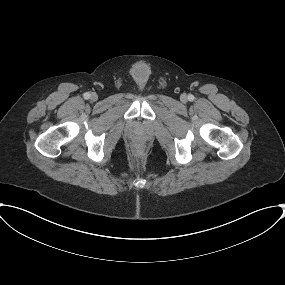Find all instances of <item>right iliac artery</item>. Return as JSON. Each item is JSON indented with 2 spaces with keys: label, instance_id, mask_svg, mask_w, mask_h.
I'll return each mask as SVG.
<instances>
[{
  "label": "right iliac artery",
  "instance_id": "right-iliac-artery-1",
  "mask_svg": "<svg viewBox=\"0 0 285 285\" xmlns=\"http://www.w3.org/2000/svg\"><path fill=\"white\" fill-rule=\"evenodd\" d=\"M83 96H84L85 99H89V98H90V93H89V92H86V93H84Z\"/></svg>",
  "mask_w": 285,
  "mask_h": 285
}]
</instances>
